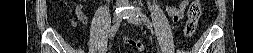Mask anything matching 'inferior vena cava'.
Instances as JSON below:
<instances>
[{"mask_svg":"<svg viewBox=\"0 0 253 53\" xmlns=\"http://www.w3.org/2000/svg\"><path fill=\"white\" fill-rule=\"evenodd\" d=\"M123 2H128V0H122Z\"/></svg>","mask_w":253,"mask_h":53,"instance_id":"inferior-vena-cava-1","label":"inferior vena cava"}]
</instances>
